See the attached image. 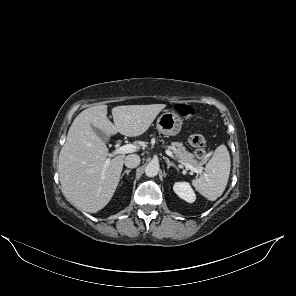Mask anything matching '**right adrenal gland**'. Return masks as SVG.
Segmentation results:
<instances>
[{
	"instance_id": "obj_1",
	"label": "right adrenal gland",
	"mask_w": 296,
	"mask_h": 296,
	"mask_svg": "<svg viewBox=\"0 0 296 296\" xmlns=\"http://www.w3.org/2000/svg\"><path fill=\"white\" fill-rule=\"evenodd\" d=\"M130 171H131V169H127V170H125V171L122 173V175H121V179L123 178V176H124L125 174L129 175Z\"/></svg>"
}]
</instances>
